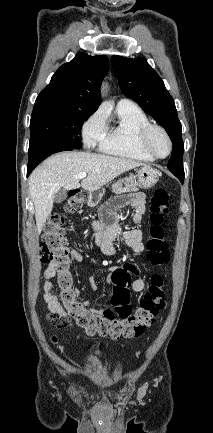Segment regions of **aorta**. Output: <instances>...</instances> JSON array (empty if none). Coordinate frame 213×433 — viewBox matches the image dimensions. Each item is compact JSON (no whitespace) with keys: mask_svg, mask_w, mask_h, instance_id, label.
<instances>
[{"mask_svg":"<svg viewBox=\"0 0 213 433\" xmlns=\"http://www.w3.org/2000/svg\"><path fill=\"white\" fill-rule=\"evenodd\" d=\"M102 93H105V86L102 87Z\"/></svg>","mask_w":213,"mask_h":433,"instance_id":"aorta-1","label":"aorta"}]
</instances>
